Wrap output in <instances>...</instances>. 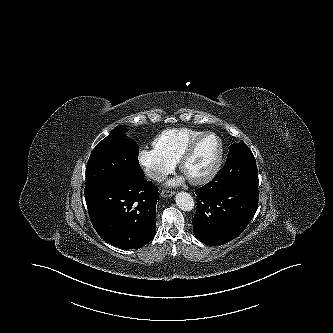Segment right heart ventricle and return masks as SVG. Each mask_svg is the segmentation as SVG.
<instances>
[{"label":"right heart ventricle","mask_w":333,"mask_h":333,"mask_svg":"<svg viewBox=\"0 0 333 333\" xmlns=\"http://www.w3.org/2000/svg\"><path fill=\"white\" fill-rule=\"evenodd\" d=\"M203 133L189 128L165 130L154 139L153 148L176 163L188 144Z\"/></svg>","instance_id":"e07e8e85"}]
</instances>
